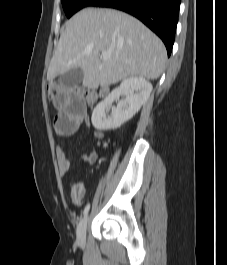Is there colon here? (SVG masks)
I'll list each match as a JSON object with an SVG mask.
<instances>
[{"mask_svg":"<svg viewBox=\"0 0 227 265\" xmlns=\"http://www.w3.org/2000/svg\"><path fill=\"white\" fill-rule=\"evenodd\" d=\"M57 87H78V91H83V96L86 99V105L92 106L95 104L97 98L96 95L88 89L79 86H65L55 82L49 83L46 87L47 95L50 99H53V96H57Z\"/></svg>","mask_w":227,"mask_h":265,"instance_id":"colon-1","label":"colon"}]
</instances>
